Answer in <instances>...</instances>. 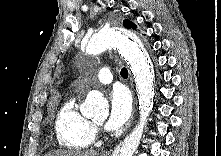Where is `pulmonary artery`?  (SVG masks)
<instances>
[{
    "mask_svg": "<svg viewBox=\"0 0 221 156\" xmlns=\"http://www.w3.org/2000/svg\"><path fill=\"white\" fill-rule=\"evenodd\" d=\"M97 82L101 84H109L113 80V75L109 67L101 68L96 75Z\"/></svg>",
    "mask_w": 221,
    "mask_h": 156,
    "instance_id": "pulmonary-artery-1",
    "label": "pulmonary artery"
}]
</instances>
